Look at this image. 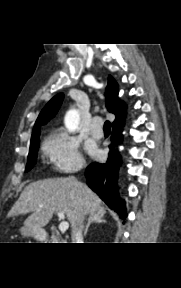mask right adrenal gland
<instances>
[{
  "label": "right adrenal gland",
  "instance_id": "2a0ac1e0",
  "mask_svg": "<svg viewBox=\"0 0 181 288\" xmlns=\"http://www.w3.org/2000/svg\"><path fill=\"white\" fill-rule=\"evenodd\" d=\"M105 211L101 210L89 217L88 223L86 225L84 236H86L87 231L92 223H106V220L104 219Z\"/></svg>",
  "mask_w": 181,
  "mask_h": 288
}]
</instances>
